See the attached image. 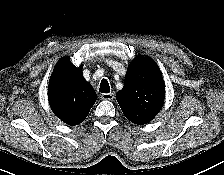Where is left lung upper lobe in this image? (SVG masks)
Returning a JSON list of instances; mask_svg holds the SVG:
<instances>
[{
  "label": "left lung upper lobe",
  "mask_w": 224,
  "mask_h": 175,
  "mask_svg": "<svg viewBox=\"0 0 224 175\" xmlns=\"http://www.w3.org/2000/svg\"><path fill=\"white\" fill-rule=\"evenodd\" d=\"M164 90L158 65L149 57L139 56L128 67L124 87L116 99L125 117L142 125L153 120L162 108Z\"/></svg>",
  "instance_id": "5c2ea615"
}]
</instances>
